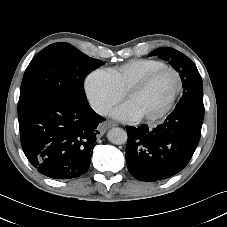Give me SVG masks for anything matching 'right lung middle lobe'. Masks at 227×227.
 I'll return each mask as SVG.
<instances>
[{"mask_svg": "<svg viewBox=\"0 0 227 227\" xmlns=\"http://www.w3.org/2000/svg\"><path fill=\"white\" fill-rule=\"evenodd\" d=\"M102 64V61L88 57L68 43L49 45L34 56L25 71L18 113L47 99L88 106L84 79Z\"/></svg>", "mask_w": 227, "mask_h": 227, "instance_id": "dd1d6c3e", "label": "right lung middle lobe"}]
</instances>
